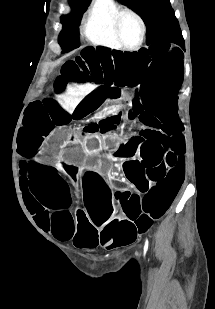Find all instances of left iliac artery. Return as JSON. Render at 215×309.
<instances>
[{"mask_svg": "<svg viewBox=\"0 0 215 309\" xmlns=\"http://www.w3.org/2000/svg\"><path fill=\"white\" fill-rule=\"evenodd\" d=\"M147 250H148V239L146 238L145 245H144V252L146 253Z\"/></svg>", "mask_w": 215, "mask_h": 309, "instance_id": "left-iliac-artery-1", "label": "left iliac artery"}]
</instances>
